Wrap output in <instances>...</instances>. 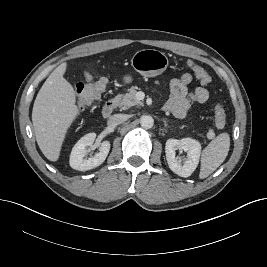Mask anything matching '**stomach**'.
<instances>
[{
  "mask_svg": "<svg viewBox=\"0 0 267 267\" xmlns=\"http://www.w3.org/2000/svg\"><path fill=\"white\" fill-rule=\"evenodd\" d=\"M169 61L165 53L156 49H143L137 51L132 59V67L144 77H155L163 73L168 67ZM133 77L129 74L123 76V82L130 84Z\"/></svg>",
  "mask_w": 267,
  "mask_h": 267,
  "instance_id": "1",
  "label": "stomach"
}]
</instances>
